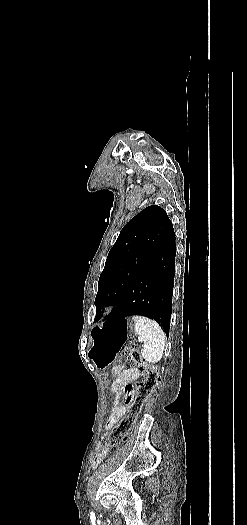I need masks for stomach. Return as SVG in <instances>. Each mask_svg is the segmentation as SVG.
Listing matches in <instances>:
<instances>
[{"mask_svg":"<svg viewBox=\"0 0 247 525\" xmlns=\"http://www.w3.org/2000/svg\"><path fill=\"white\" fill-rule=\"evenodd\" d=\"M135 335L133 318L106 321L92 330V345L88 356L97 369L105 370L115 360L123 345Z\"/></svg>","mask_w":247,"mask_h":525,"instance_id":"0dacf381","label":"stomach"}]
</instances>
